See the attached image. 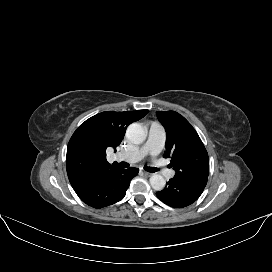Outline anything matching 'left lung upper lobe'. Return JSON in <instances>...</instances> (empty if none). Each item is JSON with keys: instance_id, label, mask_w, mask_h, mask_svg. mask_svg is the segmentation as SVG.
I'll list each match as a JSON object with an SVG mask.
<instances>
[{"instance_id": "1", "label": "left lung upper lobe", "mask_w": 272, "mask_h": 272, "mask_svg": "<svg viewBox=\"0 0 272 272\" xmlns=\"http://www.w3.org/2000/svg\"><path fill=\"white\" fill-rule=\"evenodd\" d=\"M156 114L166 131L164 157L171 158L174 179L208 178V153L192 125L175 111Z\"/></svg>"}]
</instances>
